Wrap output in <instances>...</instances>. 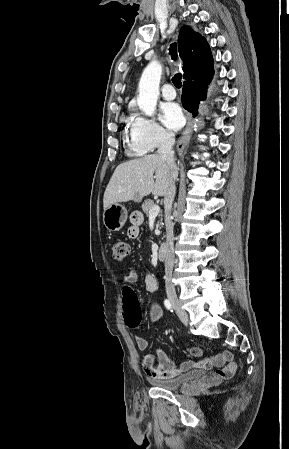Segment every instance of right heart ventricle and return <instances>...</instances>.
<instances>
[{"label":"right heart ventricle","instance_id":"1","mask_svg":"<svg viewBox=\"0 0 289 449\" xmlns=\"http://www.w3.org/2000/svg\"><path fill=\"white\" fill-rule=\"evenodd\" d=\"M131 151H132L135 155H139V156L146 153V151H145L144 149H142V148H140V147H137V146L133 145L132 143H131Z\"/></svg>","mask_w":289,"mask_h":449}]
</instances>
